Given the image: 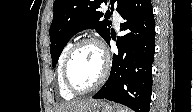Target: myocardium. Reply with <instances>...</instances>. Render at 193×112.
<instances>
[{"instance_id": "obj_1", "label": "myocardium", "mask_w": 193, "mask_h": 112, "mask_svg": "<svg viewBox=\"0 0 193 112\" xmlns=\"http://www.w3.org/2000/svg\"><path fill=\"white\" fill-rule=\"evenodd\" d=\"M87 44L95 45L100 50L102 54V58H103V66H102V71L97 81L91 87L80 90V89H77L70 80L69 67H70L71 59L73 55L75 54V52L79 48ZM110 66H111V59H110L109 52L107 48L105 47V45L97 38H93V37L83 38L75 42L71 46V48L69 49L65 57L64 64H63V79H64L65 86L68 89V91H70L74 95L88 94L98 89L105 82L106 78L108 77L109 71H110Z\"/></svg>"}]
</instances>
